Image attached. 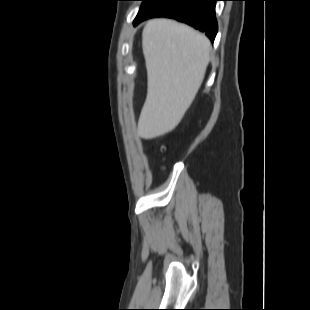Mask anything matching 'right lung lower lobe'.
Wrapping results in <instances>:
<instances>
[{"mask_svg": "<svg viewBox=\"0 0 310 310\" xmlns=\"http://www.w3.org/2000/svg\"><path fill=\"white\" fill-rule=\"evenodd\" d=\"M217 0H160L147 9L140 11L134 25L152 17H169L185 22L205 32L214 41L218 26L215 18Z\"/></svg>", "mask_w": 310, "mask_h": 310, "instance_id": "1", "label": "right lung lower lobe"}]
</instances>
